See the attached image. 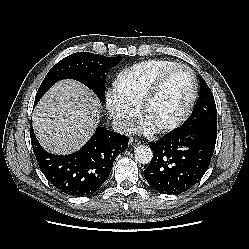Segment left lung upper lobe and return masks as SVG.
I'll list each match as a JSON object with an SVG mask.
<instances>
[{
  "mask_svg": "<svg viewBox=\"0 0 249 249\" xmlns=\"http://www.w3.org/2000/svg\"><path fill=\"white\" fill-rule=\"evenodd\" d=\"M200 97L191 117L183 128L206 126L217 128V110L213 94L205 80L199 75Z\"/></svg>",
  "mask_w": 249,
  "mask_h": 249,
  "instance_id": "obj_1",
  "label": "left lung upper lobe"
}]
</instances>
